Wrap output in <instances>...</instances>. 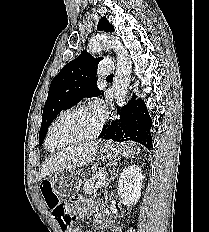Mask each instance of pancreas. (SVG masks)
<instances>
[{"label":"pancreas","instance_id":"cf45deb5","mask_svg":"<svg viewBox=\"0 0 209 232\" xmlns=\"http://www.w3.org/2000/svg\"><path fill=\"white\" fill-rule=\"evenodd\" d=\"M104 174H105L104 169H101L98 172H96L92 177H89L88 179H84L83 189L86 194L95 193L97 189H99L100 187H104L108 184L106 182L105 179L106 177L104 176ZM101 176H103V178H101Z\"/></svg>","mask_w":209,"mask_h":232}]
</instances>
